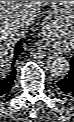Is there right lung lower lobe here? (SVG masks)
Segmentation results:
<instances>
[{
	"label": "right lung lower lobe",
	"instance_id": "1",
	"mask_svg": "<svg viewBox=\"0 0 74 122\" xmlns=\"http://www.w3.org/2000/svg\"><path fill=\"white\" fill-rule=\"evenodd\" d=\"M23 52L22 48V41L20 40L14 48V55H13V62H12V68L5 78H0V96L6 94L11 89L12 85L14 84L15 75H16V69L14 67L15 61L17 60L20 53Z\"/></svg>",
	"mask_w": 74,
	"mask_h": 122
}]
</instances>
